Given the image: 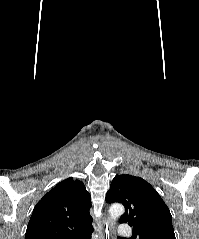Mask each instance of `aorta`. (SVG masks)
Listing matches in <instances>:
<instances>
[{
	"label": "aorta",
	"mask_w": 199,
	"mask_h": 239,
	"mask_svg": "<svg viewBox=\"0 0 199 239\" xmlns=\"http://www.w3.org/2000/svg\"><path fill=\"white\" fill-rule=\"evenodd\" d=\"M124 206L121 204H113L109 209L111 225L115 224V221L124 213Z\"/></svg>",
	"instance_id": "aorta-1"
}]
</instances>
